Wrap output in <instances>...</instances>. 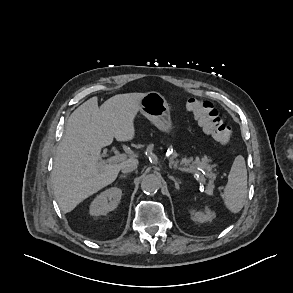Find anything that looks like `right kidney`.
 <instances>
[{"instance_id": "1", "label": "right kidney", "mask_w": 293, "mask_h": 293, "mask_svg": "<svg viewBox=\"0 0 293 293\" xmlns=\"http://www.w3.org/2000/svg\"><path fill=\"white\" fill-rule=\"evenodd\" d=\"M121 196L122 191L117 187L103 191L91 203L90 214L92 216L106 215L118 206Z\"/></svg>"}]
</instances>
